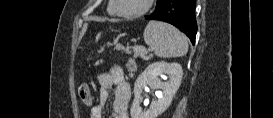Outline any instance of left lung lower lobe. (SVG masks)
Segmentation results:
<instances>
[{"label":"left lung lower lobe","mask_w":273,"mask_h":118,"mask_svg":"<svg viewBox=\"0 0 273 118\" xmlns=\"http://www.w3.org/2000/svg\"><path fill=\"white\" fill-rule=\"evenodd\" d=\"M195 8V0H161L155 11L146 16V19L165 21L174 25L194 44L197 32Z\"/></svg>","instance_id":"0a47b994"}]
</instances>
